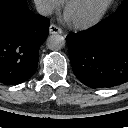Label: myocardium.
<instances>
[{
	"label": "myocardium",
	"mask_w": 128,
	"mask_h": 128,
	"mask_svg": "<svg viewBox=\"0 0 128 128\" xmlns=\"http://www.w3.org/2000/svg\"><path fill=\"white\" fill-rule=\"evenodd\" d=\"M79 0H66L64 11L65 14L68 16L70 9L78 2ZM114 0H107L104 5L101 7V9L91 16L90 18H87L85 20L80 21H73L71 20L72 24L79 29H85L94 26L98 22L102 20V18L106 15L108 10L111 8Z\"/></svg>",
	"instance_id": "myocardium-1"
}]
</instances>
